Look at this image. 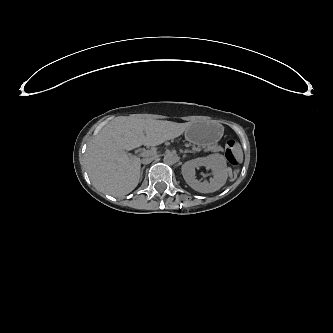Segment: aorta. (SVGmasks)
<instances>
[{"label":"aorta","mask_w":333,"mask_h":333,"mask_svg":"<svg viewBox=\"0 0 333 333\" xmlns=\"http://www.w3.org/2000/svg\"><path fill=\"white\" fill-rule=\"evenodd\" d=\"M163 162L167 165H173L177 162V158L172 153H167L164 156Z\"/></svg>","instance_id":"obj_1"}]
</instances>
